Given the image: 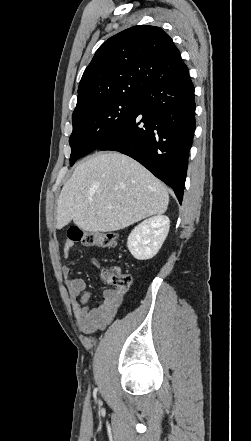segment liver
Masks as SVG:
<instances>
[{"instance_id":"6515ba94","label":"liver","mask_w":251,"mask_h":441,"mask_svg":"<svg viewBox=\"0 0 251 441\" xmlns=\"http://www.w3.org/2000/svg\"><path fill=\"white\" fill-rule=\"evenodd\" d=\"M165 186L134 159L98 153L81 162L64 184L57 203L56 228L71 221L89 232H112L163 214Z\"/></svg>"}]
</instances>
